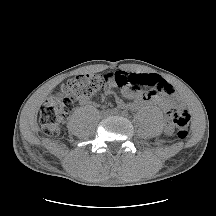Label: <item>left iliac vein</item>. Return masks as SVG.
I'll list each match as a JSON object with an SVG mask.
<instances>
[{
	"label": "left iliac vein",
	"instance_id": "left-iliac-vein-1",
	"mask_svg": "<svg viewBox=\"0 0 216 216\" xmlns=\"http://www.w3.org/2000/svg\"><path fill=\"white\" fill-rule=\"evenodd\" d=\"M114 115H119V113H114Z\"/></svg>",
	"mask_w": 216,
	"mask_h": 216
}]
</instances>
